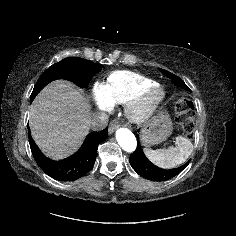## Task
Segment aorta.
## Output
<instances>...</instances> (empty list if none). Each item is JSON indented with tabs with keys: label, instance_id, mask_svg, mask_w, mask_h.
Instances as JSON below:
<instances>
[{
	"label": "aorta",
	"instance_id": "aorta-1",
	"mask_svg": "<svg viewBox=\"0 0 236 236\" xmlns=\"http://www.w3.org/2000/svg\"><path fill=\"white\" fill-rule=\"evenodd\" d=\"M116 140L120 147L127 152H133L136 149L135 135L127 128H119L116 131Z\"/></svg>",
	"mask_w": 236,
	"mask_h": 236
}]
</instances>
